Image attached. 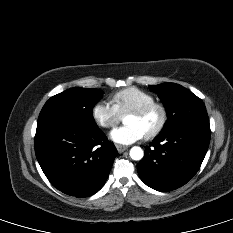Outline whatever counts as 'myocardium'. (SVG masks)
<instances>
[{"label":"myocardium","instance_id":"obj_1","mask_svg":"<svg viewBox=\"0 0 233 233\" xmlns=\"http://www.w3.org/2000/svg\"><path fill=\"white\" fill-rule=\"evenodd\" d=\"M154 109L159 111L160 119H159L157 126L152 131H150L149 133H147L145 135V137L147 139L155 138L163 131V129L167 123V118H168L167 109H166L165 105L160 103V102L153 101V102L147 103L141 107L133 109L127 113L128 115L130 114V115H135V116H143Z\"/></svg>","mask_w":233,"mask_h":233}]
</instances>
